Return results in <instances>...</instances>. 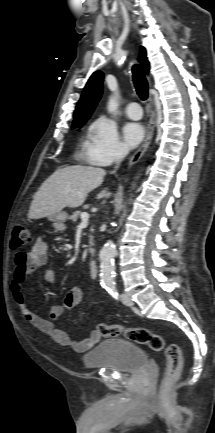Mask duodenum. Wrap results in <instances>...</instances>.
Wrapping results in <instances>:
<instances>
[{
	"label": "duodenum",
	"instance_id": "obj_1",
	"mask_svg": "<svg viewBox=\"0 0 215 433\" xmlns=\"http://www.w3.org/2000/svg\"><path fill=\"white\" fill-rule=\"evenodd\" d=\"M89 272L92 278L97 279L99 275L98 265L95 261H90L88 263Z\"/></svg>",
	"mask_w": 215,
	"mask_h": 433
}]
</instances>
